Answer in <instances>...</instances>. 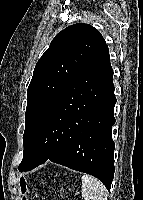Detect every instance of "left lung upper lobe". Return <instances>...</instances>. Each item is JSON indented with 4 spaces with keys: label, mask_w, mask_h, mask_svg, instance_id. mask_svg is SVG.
Listing matches in <instances>:
<instances>
[{
    "label": "left lung upper lobe",
    "mask_w": 143,
    "mask_h": 200,
    "mask_svg": "<svg viewBox=\"0 0 143 200\" xmlns=\"http://www.w3.org/2000/svg\"><path fill=\"white\" fill-rule=\"evenodd\" d=\"M105 46L100 32L83 23L71 25L54 37L37 62L27 89L24 151L19 171H23L31 159L34 129L41 114Z\"/></svg>",
    "instance_id": "1"
}]
</instances>
